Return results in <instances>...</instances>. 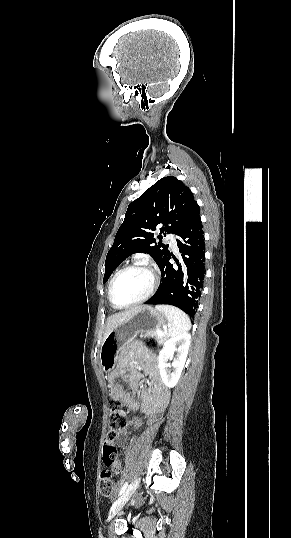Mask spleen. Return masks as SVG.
<instances>
[{"label":"spleen","instance_id":"obj_1","mask_svg":"<svg viewBox=\"0 0 291 538\" xmlns=\"http://www.w3.org/2000/svg\"><path fill=\"white\" fill-rule=\"evenodd\" d=\"M156 310L165 314L169 321V336H178L187 332L191 328V322L189 316L181 309L171 305H157Z\"/></svg>","mask_w":291,"mask_h":538}]
</instances>
